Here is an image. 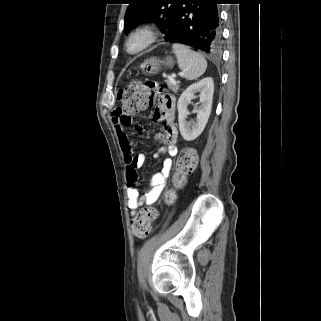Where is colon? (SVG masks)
Masks as SVG:
<instances>
[{"label":"colon","instance_id":"obj_1","mask_svg":"<svg viewBox=\"0 0 321 321\" xmlns=\"http://www.w3.org/2000/svg\"><path fill=\"white\" fill-rule=\"evenodd\" d=\"M143 81H134L118 93V99L121 101V107L118 108L123 114L131 115L146 109L155 99L151 96V90H143L140 85ZM198 164L197 152L192 148L183 149L176 161L175 172L173 175L174 186L179 188L185 183L186 177L193 173ZM175 199V192L168 191L164 196V202L171 204ZM158 216L155 208H146L142 210L132 220V231L135 236L145 238L150 235L153 224Z\"/></svg>","mask_w":321,"mask_h":321}]
</instances>
